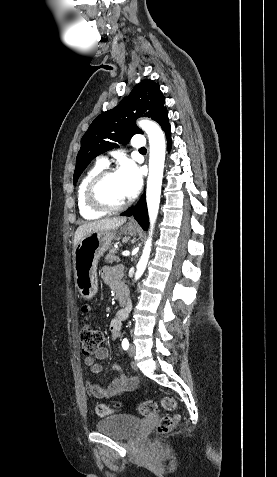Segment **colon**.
<instances>
[{"mask_svg": "<svg viewBox=\"0 0 277 477\" xmlns=\"http://www.w3.org/2000/svg\"><path fill=\"white\" fill-rule=\"evenodd\" d=\"M82 311L83 313L88 314L90 312V308L88 306H83ZM79 335L82 352L86 356L93 355L99 349L103 341L102 332L89 322H84L82 324ZM161 405L166 410H174L176 408V400L171 396H166L161 400ZM156 409V402L151 400L145 401L139 406V412L142 415H151L155 413ZM112 412V409L105 405H98L96 407V413L100 417L109 415ZM179 419V415L165 416L161 418L156 428L157 434L164 435L170 432L176 426Z\"/></svg>", "mask_w": 277, "mask_h": 477, "instance_id": "obj_1", "label": "colon"}]
</instances>
